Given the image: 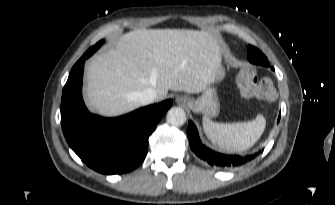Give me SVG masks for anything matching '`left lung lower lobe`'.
<instances>
[{"label": "left lung lower lobe", "instance_id": "1", "mask_svg": "<svg viewBox=\"0 0 335 205\" xmlns=\"http://www.w3.org/2000/svg\"><path fill=\"white\" fill-rule=\"evenodd\" d=\"M280 121V116L278 118V122ZM188 139L190 143L191 149L195 152V154L206 161L209 165L213 167H236L244 164L245 162L254 158L253 156L239 157V156H228L224 154H219L206 148L200 141L197 128L195 125L189 121L188 123ZM257 155V154H255Z\"/></svg>", "mask_w": 335, "mask_h": 205}]
</instances>
